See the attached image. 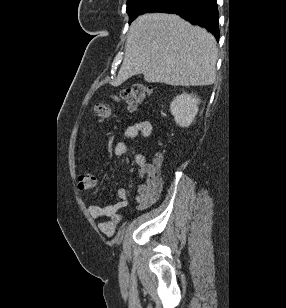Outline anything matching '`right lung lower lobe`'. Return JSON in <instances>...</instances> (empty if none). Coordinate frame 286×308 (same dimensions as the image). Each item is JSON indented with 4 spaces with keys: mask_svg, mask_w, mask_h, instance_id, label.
I'll list each match as a JSON object with an SVG mask.
<instances>
[{
    "mask_svg": "<svg viewBox=\"0 0 286 308\" xmlns=\"http://www.w3.org/2000/svg\"><path fill=\"white\" fill-rule=\"evenodd\" d=\"M152 12L178 14L183 19L208 29L219 40L217 0H168Z\"/></svg>",
    "mask_w": 286,
    "mask_h": 308,
    "instance_id": "right-lung-lower-lobe-1",
    "label": "right lung lower lobe"
}]
</instances>
